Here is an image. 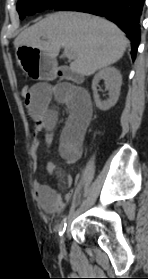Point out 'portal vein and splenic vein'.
I'll return each instance as SVG.
<instances>
[{
	"label": "portal vein and splenic vein",
	"instance_id": "18ae733b",
	"mask_svg": "<svg viewBox=\"0 0 148 279\" xmlns=\"http://www.w3.org/2000/svg\"><path fill=\"white\" fill-rule=\"evenodd\" d=\"M64 56L66 57V58H68L69 60H72V59H74V53H73V50H71V49H68V48H65V50H64Z\"/></svg>",
	"mask_w": 148,
	"mask_h": 279
}]
</instances>
